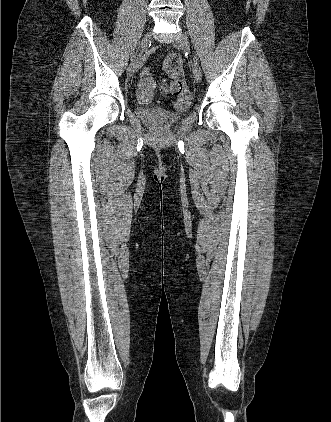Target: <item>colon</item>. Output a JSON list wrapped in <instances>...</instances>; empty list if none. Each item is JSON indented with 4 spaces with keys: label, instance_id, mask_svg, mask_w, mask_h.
I'll return each mask as SVG.
<instances>
[{
    "label": "colon",
    "instance_id": "5ec220e1",
    "mask_svg": "<svg viewBox=\"0 0 331 422\" xmlns=\"http://www.w3.org/2000/svg\"><path fill=\"white\" fill-rule=\"evenodd\" d=\"M166 81L162 86L163 92H171L178 96L175 107L178 110L186 108L190 102V92L183 80V62L178 54H169L163 64Z\"/></svg>",
    "mask_w": 331,
    "mask_h": 422
}]
</instances>
